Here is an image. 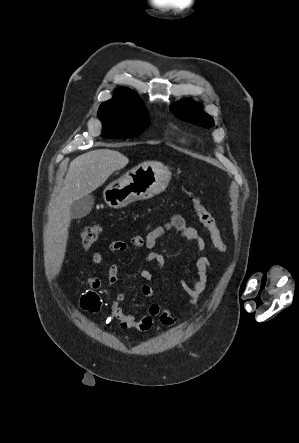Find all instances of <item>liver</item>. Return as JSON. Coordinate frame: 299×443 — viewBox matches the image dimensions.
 I'll return each mask as SVG.
<instances>
[{"mask_svg":"<svg viewBox=\"0 0 299 443\" xmlns=\"http://www.w3.org/2000/svg\"><path fill=\"white\" fill-rule=\"evenodd\" d=\"M129 159L111 149H96L76 157L69 165L63 187L49 212L46 240V261L58 275L65 257L68 229L71 223L70 205L100 187Z\"/></svg>","mask_w":299,"mask_h":443,"instance_id":"1","label":"liver"}]
</instances>
